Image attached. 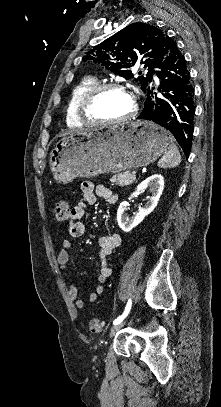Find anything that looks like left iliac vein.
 <instances>
[{"label": "left iliac vein", "mask_w": 221, "mask_h": 407, "mask_svg": "<svg viewBox=\"0 0 221 407\" xmlns=\"http://www.w3.org/2000/svg\"><path fill=\"white\" fill-rule=\"evenodd\" d=\"M126 322H127V321L125 320V321L120 322V323L117 324V325H114V326L110 329L109 337L112 338V337L115 335V333H116L117 331H119L121 328H123V327L125 326Z\"/></svg>", "instance_id": "4c4485c4"}]
</instances>
